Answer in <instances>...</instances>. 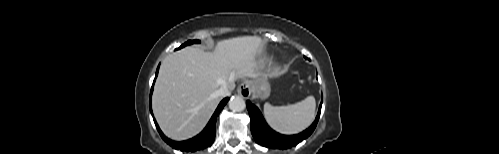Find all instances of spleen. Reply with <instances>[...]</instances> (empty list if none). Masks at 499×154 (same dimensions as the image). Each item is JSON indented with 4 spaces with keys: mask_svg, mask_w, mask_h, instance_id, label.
I'll list each match as a JSON object with an SVG mask.
<instances>
[{
    "mask_svg": "<svg viewBox=\"0 0 499 154\" xmlns=\"http://www.w3.org/2000/svg\"><path fill=\"white\" fill-rule=\"evenodd\" d=\"M316 102L313 96L288 105L264 104V115L270 126L284 134H295L306 129L314 120Z\"/></svg>",
    "mask_w": 499,
    "mask_h": 154,
    "instance_id": "1",
    "label": "spleen"
}]
</instances>
